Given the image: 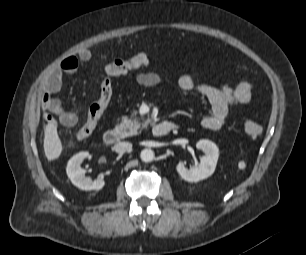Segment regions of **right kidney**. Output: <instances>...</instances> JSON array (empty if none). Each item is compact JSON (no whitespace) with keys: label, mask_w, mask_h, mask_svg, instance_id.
<instances>
[{"label":"right kidney","mask_w":306,"mask_h":255,"mask_svg":"<svg viewBox=\"0 0 306 255\" xmlns=\"http://www.w3.org/2000/svg\"><path fill=\"white\" fill-rule=\"evenodd\" d=\"M89 155L82 151L74 155L67 163L66 172L72 184L81 190H100L104 187L103 180H94L85 176L86 171L80 167L82 161Z\"/></svg>","instance_id":"obj_1"}]
</instances>
